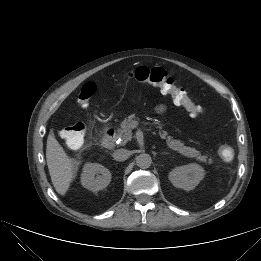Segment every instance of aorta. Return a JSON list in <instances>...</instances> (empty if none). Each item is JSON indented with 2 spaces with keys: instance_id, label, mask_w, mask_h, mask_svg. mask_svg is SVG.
I'll return each mask as SVG.
<instances>
[{
  "instance_id": "obj_1",
  "label": "aorta",
  "mask_w": 261,
  "mask_h": 261,
  "mask_svg": "<svg viewBox=\"0 0 261 261\" xmlns=\"http://www.w3.org/2000/svg\"><path fill=\"white\" fill-rule=\"evenodd\" d=\"M135 160H136L137 166L142 169H147L152 164L151 156L147 153L139 154L138 156H136Z\"/></svg>"
}]
</instances>
